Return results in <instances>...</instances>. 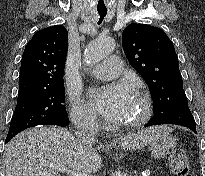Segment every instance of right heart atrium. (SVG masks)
I'll use <instances>...</instances> for the list:
<instances>
[{"mask_svg": "<svg viewBox=\"0 0 205 176\" xmlns=\"http://www.w3.org/2000/svg\"><path fill=\"white\" fill-rule=\"evenodd\" d=\"M71 117L74 123L80 127L93 129L98 125L95 112L77 95L71 96Z\"/></svg>", "mask_w": 205, "mask_h": 176, "instance_id": "right-heart-atrium-1", "label": "right heart atrium"}]
</instances>
